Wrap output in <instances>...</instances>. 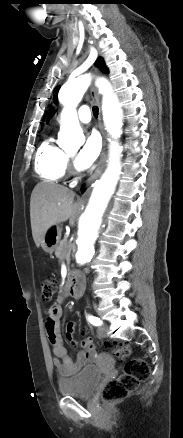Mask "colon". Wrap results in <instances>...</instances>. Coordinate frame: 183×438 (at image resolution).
<instances>
[{
  "label": "colon",
  "mask_w": 183,
  "mask_h": 438,
  "mask_svg": "<svg viewBox=\"0 0 183 438\" xmlns=\"http://www.w3.org/2000/svg\"><path fill=\"white\" fill-rule=\"evenodd\" d=\"M56 283L53 279L45 278L41 282V293L44 301H50L55 293ZM114 356L127 360L124 371L116 378L107 381L102 390L104 401L111 402L122 399L132 393L141 382H144L150 373L149 365L143 358H130L131 350L127 344L117 341H105L102 344Z\"/></svg>",
  "instance_id": "5ec220e1"
}]
</instances>
